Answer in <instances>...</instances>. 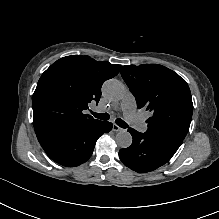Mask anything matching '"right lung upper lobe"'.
<instances>
[{
	"label": "right lung upper lobe",
	"instance_id": "obj_1",
	"mask_svg": "<svg viewBox=\"0 0 219 219\" xmlns=\"http://www.w3.org/2000/svg\"><path fill=\"white\" fill-rule=\"evenodd\" d=\"M120 67L81 55L57 60L42 74L33 94L34 128L98 121L83 110L99 102L102 84L116 76Z\"/></svg>",
	"mask_w": 219,
	"mask_h": 219
}]
</instances>
